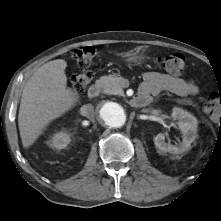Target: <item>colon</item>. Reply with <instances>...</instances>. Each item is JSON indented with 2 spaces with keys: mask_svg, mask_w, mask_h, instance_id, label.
I'll list each match as a JSON object with an SVG mask.
<instances>
[{
  "mask_svg": "<svg viewBox=\"0 0 221 221\" xmlns=\"http://www.w3.org/2000/svg\"><path fill=\"white\" fill-rule=\"evenodd\" d=\"M95 54V49L92 47L80 48L73 52L74 60L82 69V72L71 78V86L76 92H82L92 80L93 73L90 68L93 65ZM155 63L161 70L172 74L182 73L187 68L186 59L180 53L157 57ZM205 109L212 118L221 122L220 92H213L207 97Z\"/></svg>",
  "mask_w": 221,
  "mask_h": 221,
  "instance_id": "obj_1",
  "label": "colon"
}]
</instances>
